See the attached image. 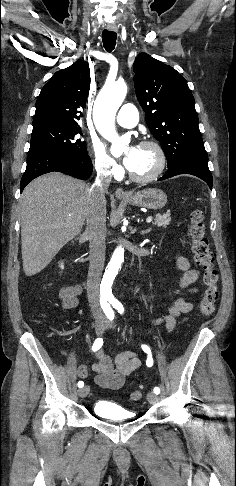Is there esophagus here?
<instances>
[{
    "mask_svg": "<svg viewBox=\"0 0 236 486\" xmlns=\"http://www.w3.org/2000/svg\"><path fill=\"white\" fill-rule=\"evenodd\" d=\"M107 29L109 31H112V32H117V28L116 27H108ZM115 195L118 198H124V197H129L130 196V194L128 192L124 191L122 188H117L115 190Z\"/></svg>",
    "mask_w": 236,
    "mask_h": 486,
    "instance_id": "obj_1",
    "label": "esophagus"
}]
</instances>
